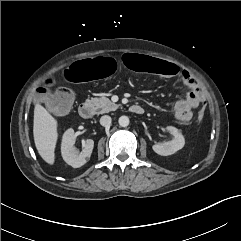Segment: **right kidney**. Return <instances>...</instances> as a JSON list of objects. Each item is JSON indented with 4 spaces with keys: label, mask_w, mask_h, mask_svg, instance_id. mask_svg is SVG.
<instances>
[{
    "label": "right kidney",
    "mask_w": 241,
    "mask_h": 241,
    "mask_svg": "<svg viewBox=\"0 0 241 241\" xmlns=\"http://www.w3.org/2000/svg\"><path fill=\"white\" fill-rule=\"evenodd\" d=\"M76 138L77 135L74 130L68 129L63 135L61 145V153L64 161L73 168L83 166L90 158L94 147V141L92 139H87L83 142V150L79 152L74 147Z\"/></svg>",
    "instance_id": "obj_1"
}]
</instances>
